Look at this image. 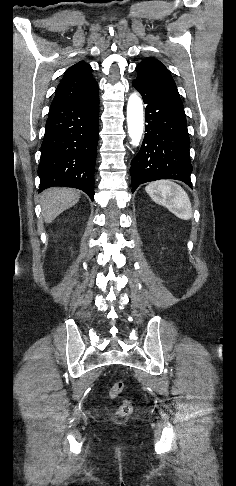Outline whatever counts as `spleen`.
Wrapping results in <instances>:
<instances>
[{"mask_svg": "<svg viewBox=\"0 0 236 486\" xmlns=\"http://www.w3.org/2000/svg\"><path fill=\"white\" fill-rule=\"evenodd\" d=\"M145 190L154 202L166 206L180 219L189 220L192 217L190 199L180 185L172 181L161 180L150 183Z\"/></svg>", "mask_w": 236, "mask_h": 486, "instance_id": "3e777b00", "label": "spleen"}]
</instances>
